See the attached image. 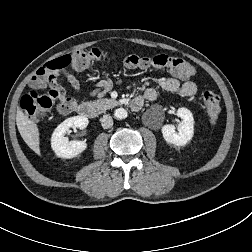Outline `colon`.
Returning <instances> with one entry per match:
<instances>
[{"mask_svg":"<svg viewBox=\"0 0 252 252\" xmlns=\"http://www.w3.org/2000/svg\"><path fill=\"white\" fill-rule=\"evenodd\" d=\"M107 59H116V56L105 50L92 48L79 50L47 62L38 69L28 92L22 97L20 102L22 110L32 120L43 117L55 102L66 101L65 93L58 84L59 75L64 69L72 67L82 71L96 62ZM119 60L129 70L164 69L183 79L191 78L196 73L195 67L187 60L165 54L154 57L128 55ZM46 87L50 88L49 91L42 94L40 90ZM202 100L208 121L215 124L221 112L220 97L214 91L205 88L202 92Z\"/></svg>","mask_w":252,"mask_h":252,"instance_id":"5ec220e1","label":"colon"}]
</instances>
